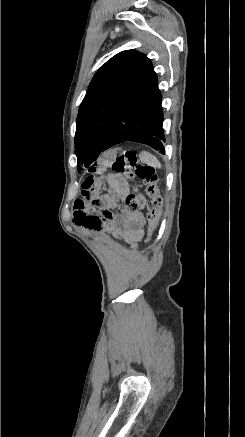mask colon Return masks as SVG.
<instances>
[{
    "label": "colon",
    "instance_id": "1",
    "mask_svg": "<svg viewBox=\"0 0 245 437\" xmlns=\"http://www.w3.org/2000/svg\"><path fill=\"white\" fill-rule=\"evenodd\" d=\"M112 169L127 178L138 177L143 181L148 199L142 193L133 192L126 197L125 208L129 212L147 208V241H150L162 215V202L157 187L158 175L155 168L139 161L135 152L123 151L115 156Z\"/></svg>",
    "mask_w": 245,
    "mask_h": 437
}]
</instances>
